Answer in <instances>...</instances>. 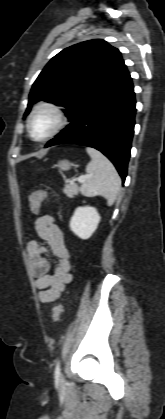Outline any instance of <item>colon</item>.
<instances>
[{
  "label": "colon",
  "mask_w": 165,
  "mask_h": 419,
  "mask_svg": "<svg viewBox=\"0 0 165 419\" xmlns=\"http://www.w3.org/2000/svg\"><path fill=\"white\" fill-rule=\"evenodd\" d=\"M48 193L45 190L38 189L33 191L29 196V206L34 214H38L41 208V204L44 200L48 199ZM63 312L62 304H57L52 311V318L55 322H58Z\"/></svg>",
  "instance_id": "obj_1"
}]
</instances>
